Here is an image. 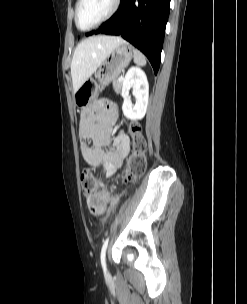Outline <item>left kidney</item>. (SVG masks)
<instances>
[{
  "mask_svg": "<svg viewBox=\"0 0 247 304\" xmlns=\"http://www.w3.org/2000/svg\"><path fill=\"white\" fill-rule=\"evenodd\" d=\"M133 87V95L136 98L135 105L129 99V90ZM122 97L124 102L122 111L126 118L131 120L142 119L147 110L149 85L146 74L138 67H132L128 70L123 80Z\"/></svg>",
  "mask_w": 247,
  "mask_h": 304,
  "instance_id": "left-kidney-1",
  "label": "left kidney"
}]
</instances>
